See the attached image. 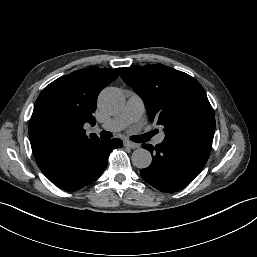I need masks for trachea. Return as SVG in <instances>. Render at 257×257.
I'll return each mask as SVG.
<instances>
[{"mask_svg":"<svg viewBox=\"0 0 257 257\" xmlns=\"http://www.w3.org/2000/svg\"><path fill=\"white\" fill-rule=\"evenodd\" d=\"M113 134L111 132H108V131H105V130H102L100 132V137L102 139H109V138H112ZM134 142H138V138L137 137H132L131 138Z\"/></svg>","mask_w":257,"mask_h":257,"instance_id":"3493384b","label":"trachea"}]
</instances>
